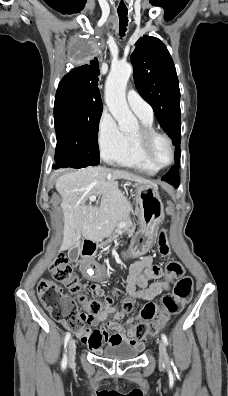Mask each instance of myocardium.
Listing matches in <instances>:
<instances>
[{"mask_svg": "<svg viewBox=\"0 0 228 396\" xmlns=\"http://www.w3.org/2000/svg\"><path fill=\"white\" fill-rule=\"evenodd\" d=\"M139 152L143 160L152 168L158 170L164 169L171 165L174 161L175 152L172 140L166 134L155 130L152 127L142 125L140 129L133 135ZM157 139H163L169 148L170 158L167 163L159 165L152 156V147Z\"/></svg>", "mask_w": 228, "mask_h": 396, "instance_id": "1", "label": "myocardium"}]
</instances>
